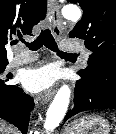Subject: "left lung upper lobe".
I'll return each instance as SVG.
<instances>
[{"label": "left lung upper lobe", "instance_id": "obj_1", "mask_svg": "<svg viewBox=\"0 0 116 134\" xmlns=\"http://www.w3.org/2000/svg\"><path fill=\"white\" fill-rule=\"evenodd\" d=\"M68 1V0H67ZM83 10L82 19L69 33L84 40L90 50L88 66L78 73L93 75L105 67H116V0H70Z\"/></svg>", "mask_w": 116, "mask_h": 134}]
</instances>
